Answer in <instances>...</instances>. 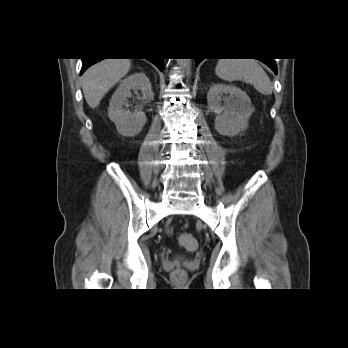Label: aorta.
I'll return each instance as SVG.
<instances>
[{"mask_svg":"<svg viewBox=\"0 0 348 348\" xmlns=\"http://www.w3.org/2000/svg\"><path fill=\"white\" fill-rule=\"evenodd\" d=\"M178 65L189 76L191 74V59H177Z\"/></svg>","mask_w":348,"mask_h":348,"instance_id":"aorta-1","label":"aorta"}]
</instances>
